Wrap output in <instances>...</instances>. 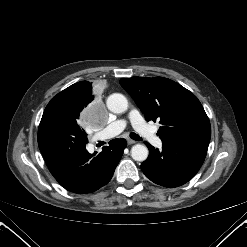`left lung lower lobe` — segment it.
I'll return each instance as SVG.
<instances>
[{"label":"left lung lower lobe","mask_w":247,"mask_h":247,"mask_svg":"<svg viewBox=\"0 0 247 247\" xmlns=\"http://www.w3.org/2000/svg\"><path fill=\"white\" fill-rule=\"evenodd\" d=\"M210 139L184 138L163 143L162 150L145 142L149 156L141 164L143 173L164 187H178L199 171L206 157Z\"/></svg>","instance_id":"obj_1"}]
</instances>
